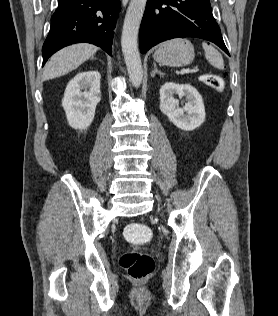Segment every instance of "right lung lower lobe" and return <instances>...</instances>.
<instances>
[{"label":"right lung lower lobe","mask_w":278,"mask_h":316,"mask_svg":"<svg viewBox=\"0 0 278 316\" xmlns=\"http://www.w3.org/2000/svg\"><path fill=\"white\" fill-rule=\"evenodd\" d=\"M120 11L118 0H59L43 44V65L59 49L75 43H91L111 55Z\"/></svg>","instance_id":"right-lung-lower-lobe-1"}]
</instances>
